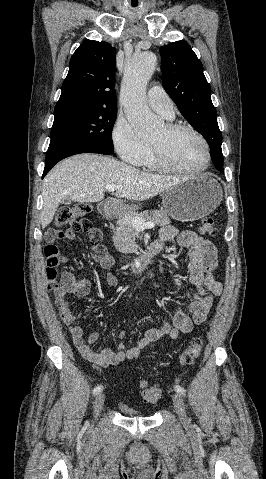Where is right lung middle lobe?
<instances>
[{"mask_svg": "<svg viewBox=\"0 0 266 479\" xmlns=\"http://www.w3.org/2000/svg\"><path fill=\"white\" fill-rule=\"evenodd\" d=\"M54 116L51 141L94 146L113 154L111 134L117 110H71Z\"/></svg>", "mask_w": 266, "mask_h": 479, "instance_id": "obj_1", "label": "right lung middle lobe"}]
</instances>
